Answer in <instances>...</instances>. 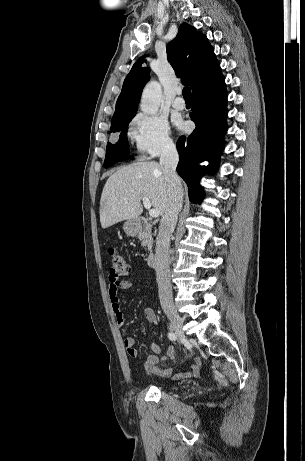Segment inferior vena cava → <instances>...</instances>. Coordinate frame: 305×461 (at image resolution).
I'll return each mask as SVG.
<instances>
[{"label":"inferior vena cava","mask_w":305,"mask_h":461,"mask_svg":"<svg viewBox=\"0 0 305 461\" xmlns=\"http://www.w3.org/2000/svg\"><path fill=\"white\" fill-rule=\"evenodd\" d=\"M179 155L174 144H168L161 153L160 165L170 190L169 203L162 215L159 233L156 238L155 261L158 293L163 309L173 306L172 288L169 268L170 236L174 232L178 214L182 209L183 190L176 173Z\"/></svg>","instance_id":"1"}]
</instances>
